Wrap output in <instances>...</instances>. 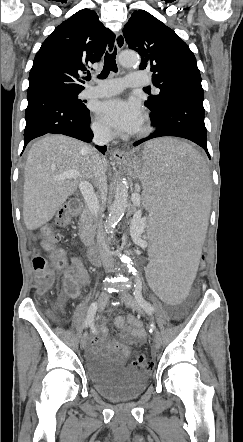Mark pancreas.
Here are the masks:
<instances>
[{
    "label": "pancreas",
    "mask_w": 243,
    "mask_h": 442,
    "mask_svg": "<svg viewBox=\"0 0 243 442\" xmlns=\"http://www.w3.org/2000/svg\"><path fill=\"white\" fill-rule=\"evenodd\" d=\"M96 231V216L89 209H85L80 217L79 236L85 245H91Z\"/></svg>",
    "instance_id": "obj_1"
}]
</instances>
